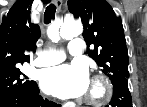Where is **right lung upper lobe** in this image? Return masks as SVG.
I'll use <instances>...</instances> for the list:
<instances>
[{
  "label": "right lung upper lobe",
  "mask_w": 147,
  "mask_h": 107,
  "mask_svg": "<svg viewBox=\"0 0 147 107\" xmlns=\"http://www.w3.org/2000/svg\"><path fill=\"white\" fill-rule=\"evenodd\" d=\"M47 4L50 0H42ZM33 0H17L3 18L0 26V71L24 62H30L27 54L36 48L41 33L37 24L30 21Z\"/></svg>",
  "instance_id": "right-lung-upper-lobe-1"
}]
</instances>
